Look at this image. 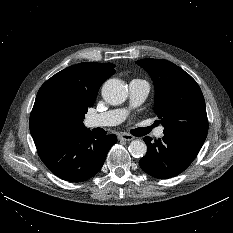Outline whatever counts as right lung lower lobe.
<instances>
[{
	"mask_svg": "<svg viewBox=\"0 0 233 233\" xmlns=\"http://www.w3.org/2000/svg\"><path fill=\"white\" fill-rule=\"evenodd\" d=\"M116 141L114 134L100 136L85 130L59 134L35 144L39 157L56 176L82 182L98 173Z\"/></svg>",
	"mask_w": 233,
	"mask_h": 233,
	"instance_id": "obj_1",
	"label": "right lung lower lobe"
}]
</instances>
